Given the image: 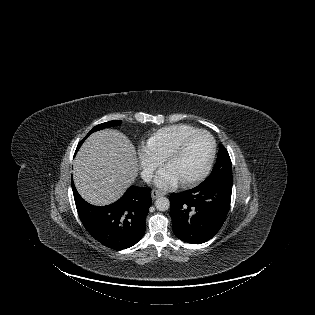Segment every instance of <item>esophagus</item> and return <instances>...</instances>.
Returning a JSON list of instances; mask_svg holds the SVG:
<instances>
[{
  "label": "esophagus",
  "mask_w": 315,
  "mask_h": 315,
  "mask_svg": "<svg viewBox=\"0 0 315 315\" xmlns=\"http://www.w3.org/2000/svg\"><path fill=\"white\" fill-rule=\"evenodd\" d=\"M163 195H164L163 192L156 190V189L152 190V192H151L152 199H157L158 197H161Z\"/></svg>",
  "instance_id": "esophagus-1"
}]
</instances>
